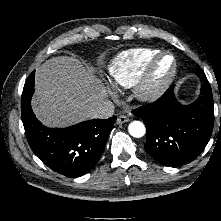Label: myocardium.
I'll return each instance as SVG.
<instances>
[{
	"mask_svg": "<svg viewBox=\"0 0 221 221\" xmlns=\"http://www.w3.org/2000/svg\"><path fill=\"white\" fill-rule=\"evenodd\" d=\"M169 57L172 61L171 69L167 76L160 81L155 80L157 67L162 59ZM178 72L176 57L168 52L161 51L147 64L142 75L134 85V95L142 102H151L161 97L171 86Z\"/></svg>",
	"mask_w": 221,
	"mask_h": 221,
	"instance_id": "1",
	"label": "myocardium"
}]
</instances>
